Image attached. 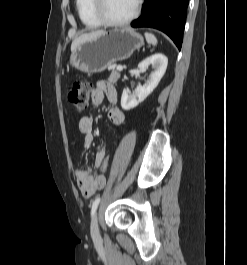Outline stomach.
Wrapping results in <instances>:
<instances>
[{
	"label": "stomach",
	"mask_w": 247,
	"mask_h": 265,
	"mask_svg": "<svg viewBox=\"0 0 247 265\" xmlns=\"http://www.w3.org/2000/svg\"><path fill=\"white\" fill-rule=\"evenodd\" d=\"M143 44L142 36L133 29L104 31L72 50L69 65L85 73H100L113 63L129 58Z\"/></svg>",
	"instance_id": "0dacf381"
}]
</instances>
